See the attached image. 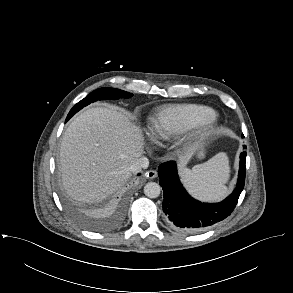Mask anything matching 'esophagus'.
I'll list each match as a JSON object with an SVG mask.
<instances>
[{
    "label": "esophagus",
    "instance_id": "esophagus-1",
    "mask_svg": "<svg viewBox=\"0 0 293 293\" xmlns=\"http://www.w3.org/2000/svg\"><path fill=\"white\" fill-rule=\"evenodd\" d=\"M145 176L149 179H154L157 177V172L155 170H149L145 173Z\"/></svg>",
    "mask_w": 293,
    "mask_h": 293
}]
</instances>
